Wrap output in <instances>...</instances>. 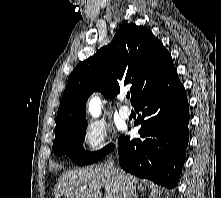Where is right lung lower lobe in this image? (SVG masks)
Segmentation results:
<instances>
[{
  "mask_svg": "<svg viewBox=\"0 0 221 198\" xmlns=\"http://www.w3.org/2000/svg\"><path fill=\"white\" fill-rule=\"evenodd\" d=\"M134 108L142 112L135 122L141 124L140 138L120 137L119 163L138 177L173 188L189 140V105L177 71L146 93Z\"/></svg>",
  "mask_w": 221,
  "mask_h": 198,
  "instance_id": "obj_1",
  "label": "right lung lower lobe"
}]
</instances>
